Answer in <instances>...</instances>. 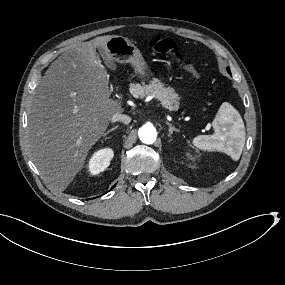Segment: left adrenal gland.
<instances>
[{
    "label": "left adrenal gland",
    "mask_w": 285,
    "mask_h": 285,
    "mask_svg": "<svg viewBox=\"0 0 285 285\" xmlns=\"http://www.w3.org/2000/svg\"><path fill=\"white\" fill-rule=\"evenodd\" d=\"M166 124L169 127V133H168V137H170L174 131L179 132L180 130L175 128L171 123H169L168 121H166Z\"/></svg>",
    "instance_id": "1"
}]
</instances>
